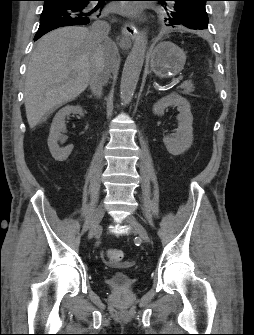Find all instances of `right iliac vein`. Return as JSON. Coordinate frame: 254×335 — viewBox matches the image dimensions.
Listing matches in <instances>:
<instances>
[{
  "instance_id": "right-iliac-vein-1",
  "label": "right iliac vein",
  "mask_w": 254,
  "mask_h": 335,
  "mask_svg": "<svg viewBox=\"0 0 254 335\" xmlns=\"http://www.w3.org/2000/svg\"><path fill=\"white\" fill-rule=\"evenodd\" d=\"M104 214H105V211L102 207L97 209L93 217L89 232H88V236H87L88 240H91L100 234L101 232L100 223L104 217Z\"/></svg>"
}]
</instances>
